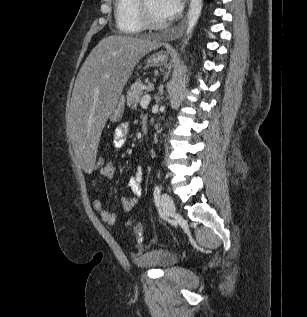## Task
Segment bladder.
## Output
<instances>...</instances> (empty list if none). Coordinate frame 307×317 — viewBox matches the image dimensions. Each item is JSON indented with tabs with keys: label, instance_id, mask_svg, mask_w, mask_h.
<instances>
[{
	"label": "bladder",
	"instance_id": "1",
	"mask_svg": "<svg viewBox=\"0 0 307 317\" xmlns=\"http://www.w3.org/2000/svg\"><path fill=\"white\" fill-rule=\"evenodd\" d=\"M134 262L142 268H167L176 264L177 256L170 251L157 249L136 256Z\"/></svg>",
	"mask_w": 307,
	"mask_h": 317
}]
</instances>
